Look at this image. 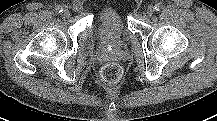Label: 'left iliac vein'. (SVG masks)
<instances>
[{"label":"left iliac vein","mask_w":217,"mask_h":121,"mask_svg":"<svg viewBox=\"0 0 217 121\" xmlns=\"http://www.w3.org/2000/svg\"><path fill=\"white\" fill-rule=\"evenodd\" d=\"M154 13V7L153 6H149L146 10V14L147 16H152V14Z\"/></svg>","instance_id":"left-iliac-vein-1"}]
</instances>
